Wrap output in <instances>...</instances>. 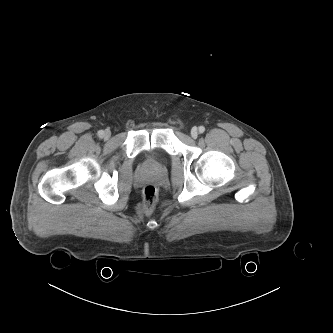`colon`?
I'll use <instances>...</instances> for the list:
<instances>
[{
    "mask_svg": "<svg viewBox=\"0 0 333 333\" xmlns=\"http://www.w3.org/2000/svg\"><path fill=\"white\" fill-rule=\"evenodd\" d=\"M158 201V192L153 185H146L143 189V209L146 213L154 210Z\"/></svg>",
    "mask_w": 333,
    "mask_h": 333,
    "instance_id": "colon-1",
    "label": "colon"
}]
</instances>
